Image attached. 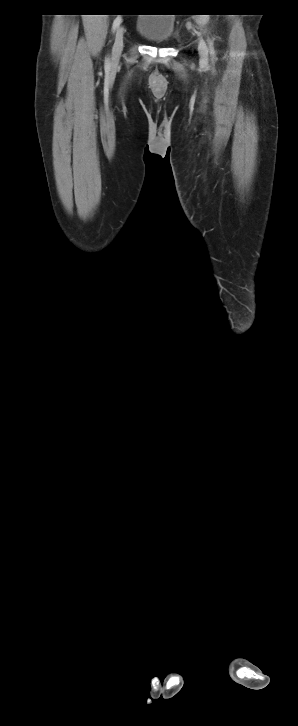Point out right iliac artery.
I'll use <instances>...</instances> for the list:
<instances>
[{"label": "right iliac artery", "mask_w": 298, "mask_h": 726, "mask_svg": "<svg viewBox=\"0 0 298 726\" xmlns=\"http://www.w3.org/2000/svg\"><path fill=\"white\" fill-rule=\"evenodd\" d=\"M121 22H122V18L121 17H117L114 20L113 26H112L113 31H115L119 27V25L121 24ZM106 62L109 63V58H107Z\"/></svg>", "instance_id": "1"}]
</instances>
